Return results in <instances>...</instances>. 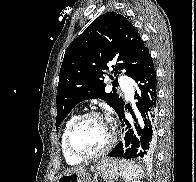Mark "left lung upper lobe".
<instances>
[{"label":"left lung upper lobe","instance_id":"5c2ea615","mask_svg":"<svg viewBox=\"0 0 196 182\" xmlns=\"http://www.w3.org/2000/svg\"><path fill=\"white\" fill-rule=\"evenodd\" d=\"M149 59V49L126 17L115 12L99 16L65 52L57 88L56 128L86 99L101 98L118 113L124 102L114 91L105 92L106 85L99 79L102 70L114 64V77L110 78L118 86L119 70L126 69L125 74L133 78Z\"/></svg>","mask_w":196,"mask_h":182}]
</instances>
